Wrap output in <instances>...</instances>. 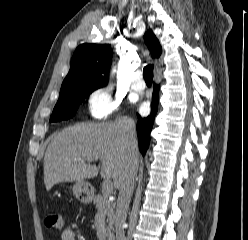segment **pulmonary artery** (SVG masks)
<instances>
[{
  "mask_svg": "<svg viewBox=\"0 0 248 240\" xmlns=\"http://www.w3.org/2000/svg\"><path fill=\"white\" fill-rule=\"evenodd\" d=\"M132 88L136 91H142L145 88V82L143 80V75L141 71H137L134 74Z\"/></svg>",
  "mask_w": 248,
  "mask_h": 240,
  "instance_id": "pulmonary-artery-1",
  "label": "pulmonary artery"
}]
</instances>
